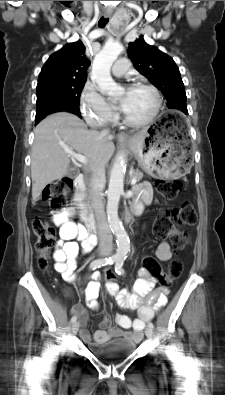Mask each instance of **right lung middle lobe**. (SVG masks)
<instances>
[{
    "instance_id": "dd1d6c3e",
    "label": "right lung middle lobe",
    "mask_w": 225,
    "mask_h": 395,
    "mask_svg": "<svg viewBox=\"0 0 225 395\" xmlns=\"http://www.w3.org/2000/svg\"><path fill=\"white\" fill-rule=\"evenodd\" d=\"M86 81L50 82L37 85L36 118L66 106L79 108Z\"/></svg>"
}]
</instances>
